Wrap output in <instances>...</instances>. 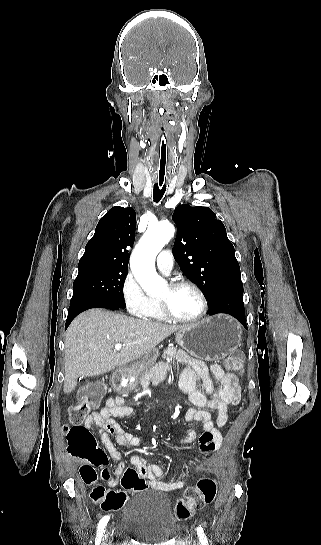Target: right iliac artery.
I'll list each match as a JSON object with an SVG mask.
<instances>
[{
	"label": "right iliac artery",
	"mask_w": 321,
	"mask_h": 545,
	"mask_svg": "<svg viewBox=\"0 0 321 545\" xmlns=\"http://www.w3.org/2000/svg\"><path fill=\"white\" fill-rule=\"evenodd\" d=\"M109 521V516H104L99 524H98V530L97 535L95 539V545H100L103 533L105 532V526L107 525V522Z\"/></svg>",
	"instance_id": "1"
}]
</instances>
